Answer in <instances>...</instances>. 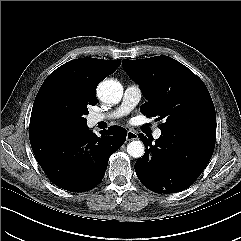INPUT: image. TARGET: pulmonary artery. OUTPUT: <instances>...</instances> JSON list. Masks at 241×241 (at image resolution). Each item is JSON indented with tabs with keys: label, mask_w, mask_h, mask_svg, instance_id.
Instances as JSON below:
<instances>
[{
	"label": "pulmonary artery",
	"mask_w": 241,
	"mask_h": 241,
	"mask_svg": "<svg viewBox=\"0 0 241 241\" xmlns=\"http://www.w3.org/2000/svg\"><path fill=\"white\" fill-rule=\"evenodd\" d=\"M141 95V90L137 85H128L124 91L120 106L108 113H92L89 116L90 123L94 125L126 115L139 103ZM153 136L155 139H158L161 136V130L159 128L155 129Z\"/></svg>",
	"instance_id": "pulmonary-artery-1"
}]
</instances>
